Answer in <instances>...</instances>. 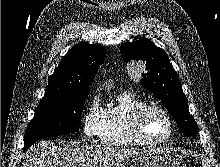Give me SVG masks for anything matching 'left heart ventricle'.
I'll return each mask as SVG.
<instances>
[{
	"mask_svg": "<svg viewBox=\"0 0 220 167\" xmlns=\"http://www.w3.org/2000/svg\"><path fill=\"white\" fill-rule=\"evenodd\" d=\"M143 130L148 138L158 140L166 137L170 128L166 118L161 113L150 111L144 119Z\"/></svg>",
	"mask_w": 220,
	"mask_h": 167,
	"instance_id": "obj_1",
	"label": "left heart ventricle"
}]
</instances>
